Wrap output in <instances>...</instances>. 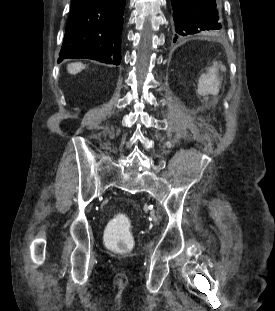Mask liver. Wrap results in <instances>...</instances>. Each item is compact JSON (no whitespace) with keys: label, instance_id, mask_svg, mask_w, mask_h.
Segmentation results:
<instances>
[{"label":"liver","instance_id":"liver-1","mask_svg":"<svg viewBox=\"0 0 275 311\" xmlns=\"http://www.w3.org/2000/svg\"><path fill=\"white\" fill-rule=\"evenodd\" d=\"M85 68V65L82 63H71L67 66V70L70 74H76Z\"/></svg>","mask_w":275,"mask_h":311}]
</instances>
